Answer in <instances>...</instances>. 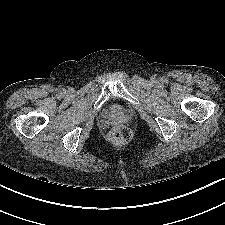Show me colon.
Returning <instances> with one entry per match:
<instances>
[{
    "mask_svg": "<svg viewBox=\"0 0 225 225\" xmlns=\"http://www.w3.org/2000/svg\"><path fill=\"white\" fill-rule=\"evenodd\" d=\"M130 130L124 126H115L108 133V139L114 142H124L130 138Z\"/></svg>",
    "mask_w": 225,
    "mask_h": 225,
    "instance_id": "colon-1",
    "label": "colon"
}]
</instances>
